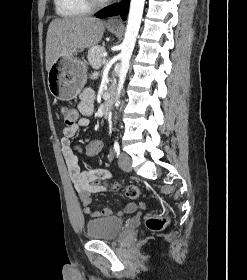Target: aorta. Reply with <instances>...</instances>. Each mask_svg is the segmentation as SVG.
Listing matches in <instances>:
<instances>
[{
  "label": "aorta",
  "instance_id": "aorta-1",
  "mask_svg": "<svg viewBox=\"0 0 247 280\" xmlns=\"http://www.w3.org/2000/svg\"><path fill=\"white\" fill-rule=\"evenodd\" d=\"M144 3L145 0H131L126 32L120 53L121 67L119 72L116 105L119 102L118 99L120 97V93L129 69L130 59L134 50L136 38L141 24Z\"/></svg>",
  "mask_w": 247,
  "mask_h": 280
}]
</instances>
